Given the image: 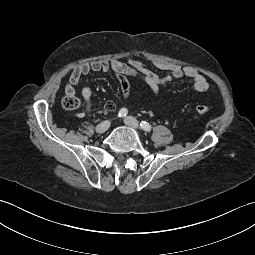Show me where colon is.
Instances as JSON below:
<instances>
[{"instance_id":"5ec220e1","label":"colon","mask_w":255,"mask_h":255,"mask_svg":"<svg viewBox=\"0 0 255 255\" xmlns=\"http://www.w3.org/2000/svg\"><path fill=\"white\" fill-rule=\"evenodd\" d=\"M80 99L75 94H66L62 100V105L66 110L72 111L80 107ZM194 111L200 115H206L210 112V107L205 104H197Z\"/></svg>"}]
</instances>
